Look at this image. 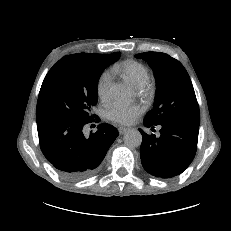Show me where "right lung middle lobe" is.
<instances>
[{
	"label": "right lung middle lobe",
	"instance_id": "dd1d6c3e",
	"mask_svg": "<svg viewBox=\"0 0 231 231\" xmlns=\"http://www.w3.org/2000/svg\"><path fill=\"white\" fill-rule=\"evenodd\" d=\"M119 56V52L109 55L77 53L60 59L42 83L36 121H91V109L98 100V80L103 70Z\"/></svg>",
	"mask_w": 231,
	"mask_h": 231
}]
</instances>
